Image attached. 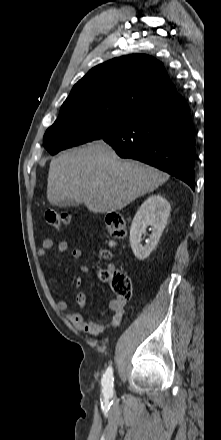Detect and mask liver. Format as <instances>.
<instances>
[{
    "instance_id": "1",
    "label": "liver",
    "mask_w": 221,
    "mask_h": 440,
    "mask_svg": "<svg viewBox=\"0 0 221 440\" xmlns=\"http://www.w3.org/2000/svg\"><path fill=\"white\" fill-rule=\"evenodd\" d=\"M168 177L138 161L122 160L108 144L95 141L52 159L47 199L51 204L74 200L90 212L111 213L153 191Z\"/></svg>"
}]
</instances>
